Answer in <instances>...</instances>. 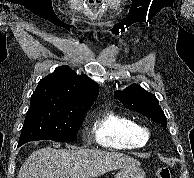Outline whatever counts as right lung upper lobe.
I'll return each mask as SVG.
<instances>
[{
  "label": "right lung upper lobe",
  "instance_id": "1",
  "mask_svg": "<svg viewBox=\"0 0 194 178\" xmlns=\"http://www.w3.org/2000/svg\"><path fill=\"white\" fill-rule=\"evenodd\" d=\"M98 93L96 82L64 65L40 80L31 101H48L69 110L87 111Z\"/></svg>",
  "mask_w": 194,
  "mask_h": 178
}]
</instances>
